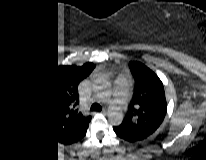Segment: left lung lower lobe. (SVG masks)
I'll list each match as a JSON object with an SVG mask.
<instances>
[{
  "label": "left lung lower lobe",
  "mask_w": 206,
  "mask_h": 160,
  "mask_svg": "<svg viewBox=\"0 0 206 160\" xmlns=\"http://www.w3.org/2000/svg\"><path fill=\"white\" fill-rule=\"evenodd\" d=\"M114 130L121 138L128 140V141H136V140L145 138L143 136L131 133L129 131L120 129L118 127H114Z\"/></svg>",
  "instance_id": "obj_1"
}]
</instances>
